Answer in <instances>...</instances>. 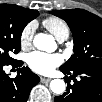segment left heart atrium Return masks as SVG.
I'll return each mask as SVG.
<instances>
[{
  "mask_svg": "<svg viewBox=\"0 0 102 102\" xmlns=\"http://www.w3.org/2000/svg\"><path fill=\"white\" fill-rule=\"evenodd\" d=\"M62 63L59 54H47L40 51L32 52L28 55V65L36 73L46 75L51 73Z\"/></svg>",
  "mask_w": 102,
  "mask_h": 102,
  "instance_id": "39dd6f15",
  "label": "left heart atrium"
}]
</instances>
